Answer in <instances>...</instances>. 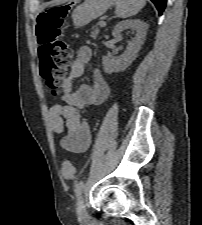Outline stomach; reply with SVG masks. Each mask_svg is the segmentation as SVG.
<instances>
[{
    "mask_svg": "<svg viewBox=\"0 0 202 225\" xmlns=\"http://www.w3.org/2000/svg\"><path fill=\"white\" fill-rule=\"evenodd\" d=\"M114 0H85L77 6L71 15L73 25L82 27L103 15Z\"/></svg>",
    "mask_w": 202,
    "mask_h": 225,
    "instance_id": "0dacf381",
    "label": "stomach"
}]
</instances>
